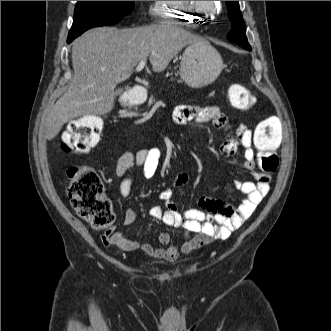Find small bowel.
<instances>
[{
    "mask_svg": "<svg viewBox=\"0 0 331 331\" xmlns=\"http://www.w3.org/2000/svg\"><path fill=\"white\" fill-rule=\"evenodd\" d=\"M173 119L179 125H185L189 122H212L218 128L226 129L229 126L228 118L217 106L181 105L174 110ZM239 146L244 151V167L252 172L256 180V182L234 181L235 187L246 194V198L239 206L235 207L220 199L201 196L198 199V209L189 208L181 213L172 200L173 190L167 188L160 193V199L164 206H153L149 211V215L165 225L183 228L186 235L182 243L171 245L170 235L167 232H159L157 237L162 246L155 247L150 243L140 244L128 238L124 233L113 230L107 231L102 236L103 243L106 246H116L125 252H134L141 249L148 256L173 261L181 253H189L212 241L228 239L232 232L238 229L253 214L270 189V176L267 173L255 171L253 133L243 124L237 127L234 136L227 138L222 143L220 153L224 157H230L236 153ZM160 157V149L154 147L142 149L136 153H125L119 158L116 172L122 178L120 193L123 197L129 196L133 183L132 176H126L127 171L132 167H143L144 177L150 179L157 171ZM188 179L187 174L181 173L175 178L173 186L182 187L188 182ZM136 217V211L128 209L124 215V225H131Z\"/></svg>",
    "mask_w": 331,
    "mask_h": 331,
    "instance_id": "c3829d8e",
    "label": "small bowel"
}]
</instances>
